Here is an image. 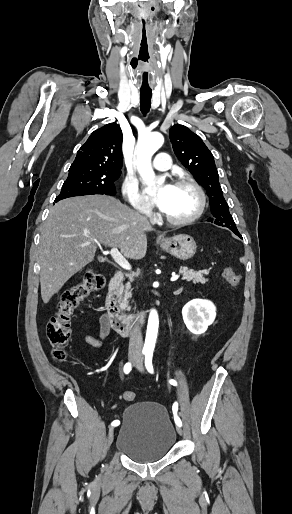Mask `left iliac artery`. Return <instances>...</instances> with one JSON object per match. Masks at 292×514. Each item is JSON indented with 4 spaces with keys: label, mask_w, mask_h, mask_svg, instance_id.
<instances>
[{
    "label": "left iliac artery",
    "mask_w": 292,
    "mask_h": 514,
    "mask_svg": "<svg viewBox=\"0 0 292 514\" xmlns=\"http://www.w3.org/2000/svg\"><path fill=\"white\" fill-rule=\"evenodd\" d=\"M152 357H153L152 352H148L145 355V366H146V369L148 370V372L151 373V374L154 373L153 364H152ZM169 383L171 385L177 386L176 380L170 379ZM172 411H173L174 421H175L176 425L181 427L182 426V422H181L180 418L177 415V412H178V404L177 403L173 404Z\"/></svg>",
    "instance_id": "1"
}]
</instances>
